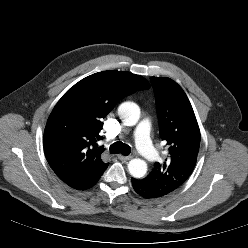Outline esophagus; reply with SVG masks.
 <instances>
[{"instance_id":"esophagus-1","label":"esophagus","mask_w":248,"mask_h":248,"mask_svg":"<svg viewBox=\"0 0 248 248\" xmlns=\"http://www.w3.org/2000/svg\"><path fill=\"white\" fill-rule=\"evenodd\" d=\"M117 157H118V159H120L122 161H128V160L132 159V156H124L122 154H119Z\"/></svg>"}]
</instances>
